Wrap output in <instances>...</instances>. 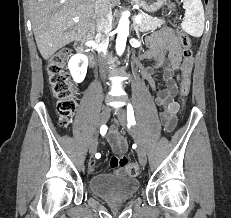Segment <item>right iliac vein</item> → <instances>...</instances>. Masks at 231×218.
I'll return each mask as SVG.
<instances>
[{"instance_id":"right-iliac-vein-1","label":"right iliac vein","mask_w":231,"mask_h":218,"mask_svg":"<svg viewBox=\"0 0 231 218\" xmlns=\"http://www.w3.org/2000/svg\"><path fill=\"white\" fill-rule=\"evenodd\" d=\"M109 117H110V108L109 107H104L102 109V112H101L100 117H99V125L105 124L108 121ZM96 150H97V139L94 138L91 141V144H90V147H89L90 155L93 156L95 154Z\"/></svg>"}]
</instances>
